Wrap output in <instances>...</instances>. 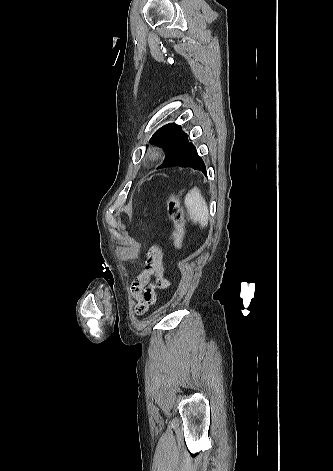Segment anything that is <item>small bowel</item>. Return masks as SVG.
I'll use <instances>...</instances> for the list:
<instances>
[{"label":"small bowel","instance_id":"1","mask_svg":"<svg viewBox=\"0 0 333 471\" xmlns=\"http://www.w3.org/2000/svg\"><path fill=\"white\" fill-rule=\"evenodd\" d=\"M170 284L162 263V251L158 246H152L145 266L139 270L130 287V303L135 314L144 315L156 303L157 290L167 289Z\"/></svg>","mask_w":333,"mask_h":471}]
</instances>
